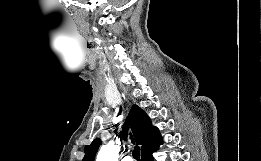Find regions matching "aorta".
Instances as JSON below:
<instances>
[{
  "label": "aorta",
  "instance_id": "aorta-1",
  "mask_svg": "<svg viewBox=\"0 0 261 161\" xmlns=\"http://www.w3.org/2000/svg\"><path fill=\"white\" fill-rule=\"evenodd\" d=\"M119 147L109 143L102 146L96 161H118Z\"/></svg>",
  "mask_w": 261,
  "mask_h": 161
}]
</instances>
